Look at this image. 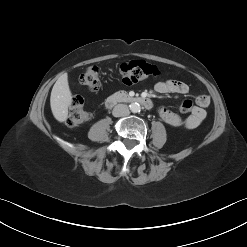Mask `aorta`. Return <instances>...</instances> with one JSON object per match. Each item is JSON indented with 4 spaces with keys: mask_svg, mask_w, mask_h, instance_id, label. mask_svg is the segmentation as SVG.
I'll return each mask as SVG.
<instances>
[{
    "mask_svg": "<svg viewBox=\"0 0 247 247\" xmlns=\"http://www.w3.org/2000/svg\"><path fill=\"white\" fill-rule=\"evenodd\" d=\"M130 110H131L133 113L140 112V110H141L140 104H139V103H132V104L130 105Z\"/></svg>",
    "mask_w": 247,
    "mask_h": 247,
    "instance_id": "1",
    "label": "aorta"
}]
</instances>
